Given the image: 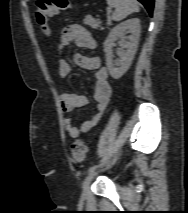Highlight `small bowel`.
<instances>
[{
    "instance_id": "small-bowel-1",
    "label": "small bowel",
    "mask_w": 188,
    "mask_h": 213,
    "mask_svg": "<svg viewBox=\"0 0 188 213\" xmlns=\"http://www.w3.org/2000/svg\"><path fill=\"white\" fill-rule=\"evenodd\" d=\"M73 43L85 49H94L96 46L95 39L91 33L79 24H71L62 29L58 44L60 54L64 52L66 47ZM74 61L81 68L94 71L95 88L93 97L96 102V114L91 119L84 121L78 128L73 124L72 118L68 114L76 108L87 105L88 98L84 94L70 92H63L59 95L62 111L66 114L63 119L65 130L69 137L76 139L81 133H88L99 122L109 104L112 87L108 81V71L101 65V61L98 57L76 53L74 55ZM70 71V63L61 57L58 61L59 75L66 77Z\"/></svg>"
}]
</instances>
